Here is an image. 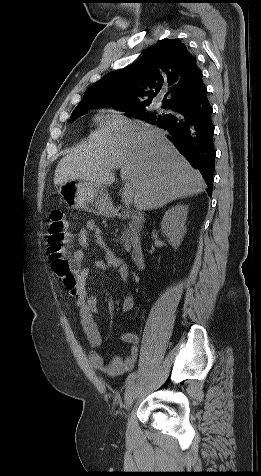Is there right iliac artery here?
Returning <instances> with one entry per match:
<instances>
[{"label":"right iliac artery","mask_w":261,"mask_h":476,"mask_svg":"<svg viewBox=\"0 0 261 476\" xmlns=\"http://www.w3.org/2000/svg\"><path fill=\"white\" fill-rule=\"evenodd\" d=\"M136 376H137L136 372H132L131 374H129V376L126 379V386H129L134 381Z\"/></svg>","instance_id":"obj_1"}]
</instances>
